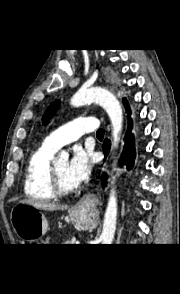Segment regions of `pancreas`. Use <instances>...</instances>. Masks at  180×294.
I'll list each match as a JSON object with an SVG mask.
<instances>
[{"instance_id":"obj_1","label":"pancreas","mask_w":180,"mask_h":294,"mask_svg":"<svg viewBox=\"0 0 180 294\" xmlns=\"http://www.w3.org/2000/svg\"><path fill=\"white\" fill-rule=\"evenodd\" d=\"M65 244H70L69 242H65Z\"/></svg>"}]
</instances>
